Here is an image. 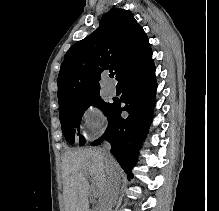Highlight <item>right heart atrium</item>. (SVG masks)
Masks as SVG:
<instances>
[{
	"instance_id": "right-heart-atrium-1",
	"label": "right heart atrium",
	"mask_w": 219,
	"mask_h": 211,
	"mask_svg": "<svg viewBox=\"0 0 219 211\" xmlns=\"http://www.w3.org/2000/svg\"><path fill=\"white\" fill-rule=\"evenodd\" d=\"M82 121L86 129L87 137L94 139L103 133L106 127L107 117L98 104L92 103L83 110Z\"/></svg>"
}]
</instances>
